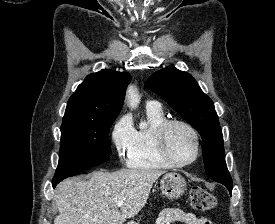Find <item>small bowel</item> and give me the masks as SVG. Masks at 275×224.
Masks as SVG:
<instances>
[{
	"mask_svg": "<svg viewBox=\"0 0 275 224\" xmlns=\"http://www.w3.org/2000/svg\"><path fill=\"white\" fill-rule=\"evenodd\" d=\"M212 224L206 217H198L193 213L177 208H167L160 212L156 224Z\"/></svg>",
	"mask_w": 275,
	"mask_h": 224,
	"instance_id": "small-bowel-1",
	"label": "small bowel"
}]
</instances>
